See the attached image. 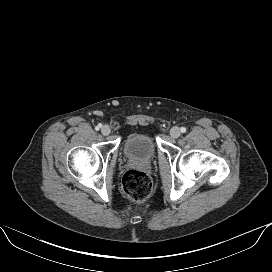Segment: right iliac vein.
Listing matches in <instances>:
<instances>
[{
  "label": "right iliac vein",
  "instance_id": "1",
  "mask_svg": "<svg viewBox=\"0 0 272 272\" xmlns=\"http://www.w3.org/2000/svg\"><path fill=\"white\" fill-rule=\"evenodd\" d=\"M101 132L103 135H109L111 130H110V127L108 125H104L102 128H101Z\"/></svg>",
  "mask_w": 272,
  "mask_h": 272
}]
</instances>
